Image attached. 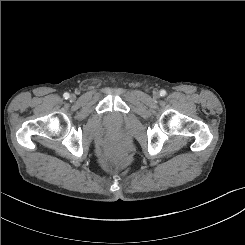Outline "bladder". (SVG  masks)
Segmentation results:
<instances>
[{"label": "bladder", "instance_id": "obj_1", "mask_svg": "<svg viewBox=\"0 0 245 245\" xmlns=\"http://www.w3.org/2000/svg\"><path fill=\"white\" fill-rule=\"evenodd\" d=\"M112 122L115 123V124L120 123V121L118 119H112Z\"/></svg>", "mask_w": 245, "mask_h": 245}]
</instances>
